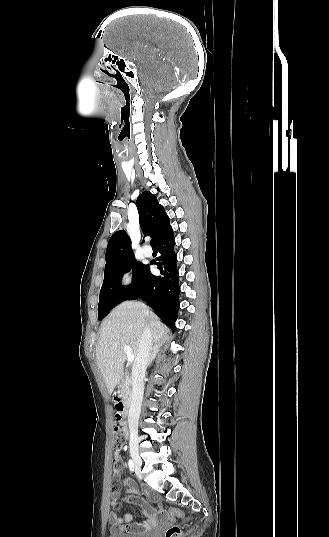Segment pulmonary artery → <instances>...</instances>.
Returning <instances> with one entry per match:
<instances>
[{
  "label": "pulmonary artery",
  "instance_id": "e3ab8cb5",
  "mask_svg": "<svg viewBox=\"0 0 329 537\" xmlns=\"http://www.w3.org/2000/svg\"><path fill=\"white\" fill-rule=\"evenodd\" d=\"M142 252L145 256H151L152 255V249L149 246H144L142 248Z\"/></svg>",
  "mask_w": 329,
  "mask_h": 537
}]
</instances>
